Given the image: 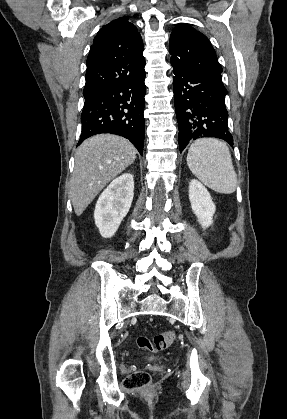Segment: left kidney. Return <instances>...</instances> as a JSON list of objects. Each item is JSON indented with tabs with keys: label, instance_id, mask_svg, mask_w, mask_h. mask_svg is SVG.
<instances>
[{
	"label": "left kidney",
	"instance_id": "left-kidney-1",
	"mask_svg": "<svg viewBox=\"0 0 287 419\" xmlns=\"http://www.w3.org/2000/svg\"><path fill=\"white\" fill-rule=\"evenodd\" d=\"M189 200L199 224L206 229L213 224L216 207L208 190L196 179L189 183Z\"/></svg>",
	"mask_w": 287,
	"mask_h": 419
}]
</instances>
